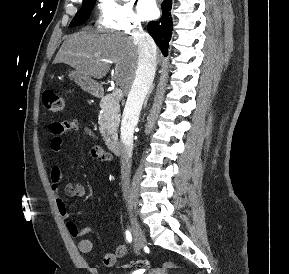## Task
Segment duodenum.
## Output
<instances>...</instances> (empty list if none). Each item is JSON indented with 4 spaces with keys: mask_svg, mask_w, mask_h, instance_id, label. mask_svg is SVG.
<instances>
[{
    "mask_svg": "<svg viewBox=\"0 0 289 274\" xmlns=\"http://www.w3.org/2000/svg\"><path fill=\"white\" fill-rule=\"evenodd\" d=\"M108 148L115 155H118L121 152V145L117 139L109 140L108 141Z\"/></svg>",
    "mask_w": 289,
    "mask_h": 274,
    "instance_id": "obj_1",
    "label": "duodenum"
}]
</instances>
